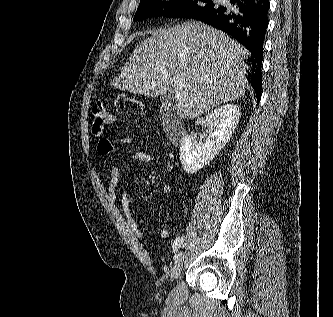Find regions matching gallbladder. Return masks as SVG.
<instances>
[{
    "label": "gallbladder",
    "instance_id": "obj_1",
    "mask_svg": "<svg viewBox=\"0 0 333 317\" xmlns=\"http://www.w3.org/2000/svg\"><path fill=\"white\" fill-rule=\"evenodd\" d=\"M161 101H162L163 105H167L170 102V98L169 97H162Z\"/></svg>",
    "mask_w": 333,
    "mask_h": 317
}]
</instances>
